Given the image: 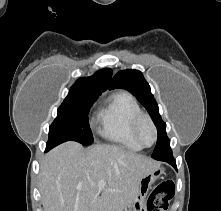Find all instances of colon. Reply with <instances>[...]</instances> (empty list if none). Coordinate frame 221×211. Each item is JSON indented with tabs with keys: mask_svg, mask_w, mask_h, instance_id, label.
<instances>
[{
	"mask_svg": "<svg viewBox=\"0 0 221 211\" xmlns=\"http://www.w3.org/2000/svg\"><path fill=\"white\" fill-rule=\"evenodd\" d=\"M174 196V183L170 180L159 183L151 192L146 211H166Z\"/></svg>",
	"mask_w": 221,
	"mask_h": 211,
	"instance_id": "obj_1",
	"label": "colon"
}]
</instances>
